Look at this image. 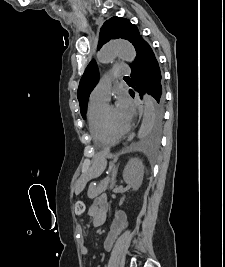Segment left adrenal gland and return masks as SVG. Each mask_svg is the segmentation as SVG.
Wrapping results in <instances>:
<instances>
[{
  "label": "left adrenal gland",
  "instance_id": "a2214340",
  "mask_svg": "<svg viewBox=\"0 0 225 267\" xmlns=\"http://www.w3.org/2000/svg\"><path fill=\"white\" fill-rule=\"evenodd\" d=\"M117 171H118V166L114 165L110 188H113L115 186V184H116V180L115 179H116Z\"/></svg>",
  "mask_w": 225,
  "mask_h": 267
}]
</instances>
